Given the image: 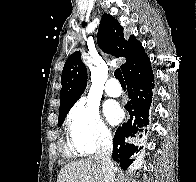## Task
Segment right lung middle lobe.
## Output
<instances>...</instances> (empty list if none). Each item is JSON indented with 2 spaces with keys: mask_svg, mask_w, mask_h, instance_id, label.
<instances>
[{
  "mask_svg": "<svg viewBox=\"0 0 196 182\" xmlns=\"http://www.w3.org/2000/svg\"><path fill=\"white\" fill-rule=\"evenodd\" d=\"M66 115L60 116L58 119V126L60 127L65 119Z\"/></svg>",
  "mask_w": 196,
  "mask_h": 182,
  "instance_id": "dd1d6c3e",
  "label": "right lung middle lobe"
}]
</instances>
